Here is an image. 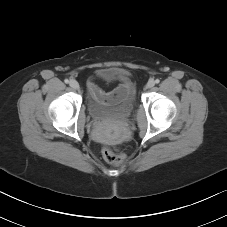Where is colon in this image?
Wrapping results in <instances>:
<instances>
[{
  "label": "colon",
  "mask_w": 227,
  "mask_h": 227,
  "mask_svg": "<svg viewBox=\"0 0 227 227\" xmlns=\"http://www.w3.org/2000/svg\"><path fill=\"white\" fill-rule=\"evenodd\" d=\"M102 154L104 159L111 164H122L124 163L126 157L124 154L116 153L109 147H104L102 150Z\"/></svg>",
  "instance_id": "colon-1"
}]
</instances>
